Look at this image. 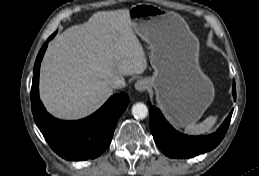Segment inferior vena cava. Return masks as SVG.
<instances>
[{
	"mask_svg": "<svg viewBox=\"0 0 259 176\" xmlns=\"http://www.w3.org/2000/svg\"><path fill=\"white\" fill-rule=\"evenodd\" d=\"M110 85L113 89H120L125 87L126 82L123 77H116L111 81Z\"/></svg>",
	"mask_w": 259,
	"mask_h": 176,
	"instance_id": "inferior-vena-cava-1",
	"label": "inferior vena cava"
}]
</instances>
